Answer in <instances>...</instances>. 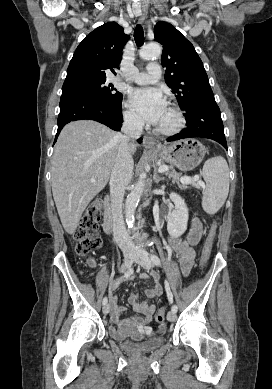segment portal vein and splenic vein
Segmentation results:
<instances>
[{
	"label": "portal vein and splenic vein",
	"mask_w": 272,
	"mask_h": 389,
	"mask_svg": "<svg viewBox=\"0 0 272 389\" xmlns=\"http://www.w3.org/2000/svg\"><path fill=\"white\" fill-rule=\"evenodd\" d=\"M168 170H169V168L166 165H162L158 168L159 173H164ZM193 179H194V181H197V186H201V187L205 186L203 181H199V176H194ZM180 180L182 183H191V181H192L190 177H181ZM91 182H95V180H91Z\"/></svg>",
	"instance_id": "1"
}]
</instances>
